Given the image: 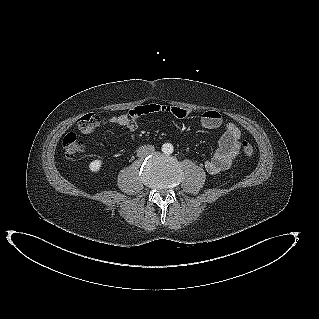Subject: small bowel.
I'll return each mask as SVG.
<instances>
[{
  "label": "small bowel",
  "mask_w": 319,
  "mask_h": 319,
  "mask_svg": "<svg viewBox=\"0 0 319 319\" xmlns=\"http://www.w3.org/2000/svg\"><path fill=\"white\" fill-rule=\"evenodd\" d=\"M155 113H167L180 119H185L189 116V110L182 107L149 103L135 106L127 113L107 118H101L93 114V120L89 123L78 125V129L82 134L90 135L100 126L108 124L124 127L134 132L138 128V119L141 116ZM200 123L205 129L215 130L222 126L223 119L220 113L207 111L202 115ZM240 138V129L233 123H227L217 150L214 155L205 162V168L209 173L217 174L232 166L240 150Z\"/></svg>",
  "instance_id": "1"
}]
</instances>
